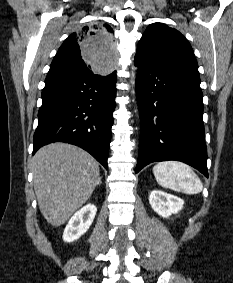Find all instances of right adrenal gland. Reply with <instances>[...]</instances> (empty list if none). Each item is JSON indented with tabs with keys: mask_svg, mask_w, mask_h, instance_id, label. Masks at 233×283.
<instances>
[{
	"mask_svg": "<svg viewBox=\"0 0 233 283\" xmlns=\"http://www.w3.org/2000/svg\"><path fill=\"white\" fill-rule=\"evenodd\" d=\"M102 183V181H101V177L99 178V184H101Z\"/></svg>",
	"mask_w": 233,
	"mask_h": 283,
	"instance_id": "right-adrenal-gland-1",
	"label": "right adrenal gland"
}]
</instances>
